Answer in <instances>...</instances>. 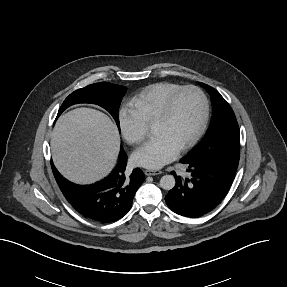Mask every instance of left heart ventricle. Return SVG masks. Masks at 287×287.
I'll list each match as a JSON object with an SVG mask.
<instances>
[{
	"label": "left heart ventricle",
	"mask_w": 287,
	"mask_h": 287,
	"mask_svg": "<svg viewBox=\"0 0 287 287\" xmlns=\"http://www.w3.org/2000/svg\"><path fill=\"white\" fill-rule=\"evenodd\" d=\"M202 115L200 97L193 91L182 93L175 101L170 117L163 123L154 124V136L167 138L178 149L196 130Z\"/></svg>",
	"instance_id": "left-heart-ventricle-1"
}]
</instances>
